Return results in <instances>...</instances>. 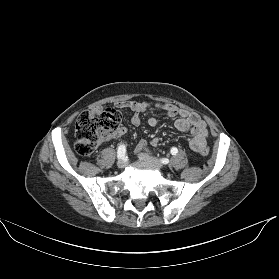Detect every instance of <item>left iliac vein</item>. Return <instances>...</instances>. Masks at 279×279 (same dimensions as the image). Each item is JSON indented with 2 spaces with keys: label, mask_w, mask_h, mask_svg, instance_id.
<instances>
[{
  "label": "left iliac vein",
  "mask_w": 279,
  "mask_h": 279,
  "mask_svg": "<svg viewBox=\"0 0 279 279\" xmlns=\"http://www.w3.org/2000/svg\"><path fill=\"white\" fill-rule=\"evenodd\" d=\"M138 157H139V159H141L143 161L155 164L160 169H162L164 167L162 162H160L159 160H157L156 158H154L152 156H149L148 154L140 153V154H138Z\"/></svg>",
  "instance_id": "left-iliac-vein-1"
}]
</instances>
